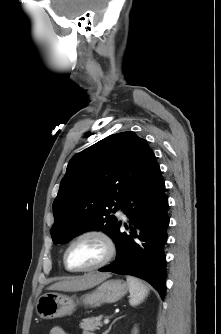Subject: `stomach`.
I'll list each match as a JSON object with an SVG mask.
<instances>
[{
	"label": "stomach",
	"mask_w": 221,
	"mask_h": 334,
	"mask_svg": "<svg viewBox=\"0 0 221 334\" xmlns=\"http://www.w3.org/2000/svg\"><path fill=\"white\" fill-rule=\"evenodd\" d=\"M128 291L126 282L119 279L103 281L94 291L81 297L86 306L97 307L103 303H115ZM76 308L73 297L48 292L38 298L36 312L43 319H53L72 314Z\"/></svg>",
	"instance_id": "0dacf381"
}]
</instances>
